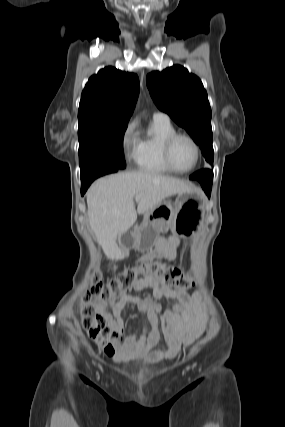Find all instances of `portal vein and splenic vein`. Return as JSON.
Wrapping results in <instances>:
<instances>
[{"instance_id": "obj_1", "label": "portal vein and splenic vein", "mask_w": 285, "mask_h": 427, "mask_svg": "<svg viewBox=\"0 0 285 427\" xmlns=\"http://www.w3.org/2000/svg\"><path fill=\"white\" fill-rule=\"evenodd\" d=\"M140 200V196H135V201L138 202Z\"/></svg>"}]
</instances>
